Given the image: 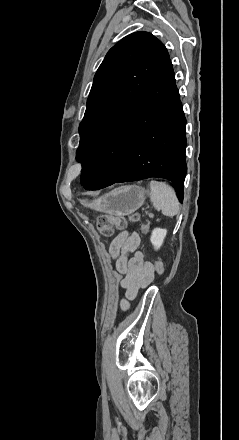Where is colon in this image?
Wrapping results in <instances>:
<instances>
[{"instance_id":"colon-1","label":"colon","mask_w":239,"mask_h":440,"mask_svg":"<svg viewBox=\"0 0 239 440\" xmlns=\"http://www.w3.org/2000/svg\"><path fill=\"white\" fill-rule=\"evenodd\" d=\"M137 218L136 215H132L129 218H126L124 216H103L97 219V229L100 233H102L105 236L110 235L114 229L122 230L126 227L129 220H135ZM148 225L142 226V231L147 232ZM155 272L157 274H162L164 267L160 260H157L154 264Z\"/></svg>"}]
</instances>
